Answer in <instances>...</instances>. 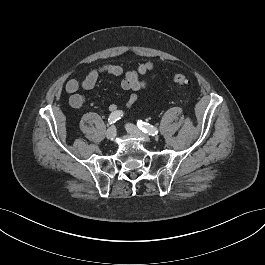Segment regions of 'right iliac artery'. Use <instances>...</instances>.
I'll return each instance as SVG.
<instances>
[{"mask_svg":"<svg viewBox=\"0 0 265 265\" xmlns=\"http://www.w3.org/2000/svg\"><path fill=\"white\" fill-rule=\"evenodd\" d=\"M123 116V112L122 111H115L112 112L108 118V122L109 124H114L116 121H118L119 119H121V117Z\"/></svg>","mask_w":265,"mask_h":265,"instance_id":"1","label":"right iliac artery"}]
</instances>
